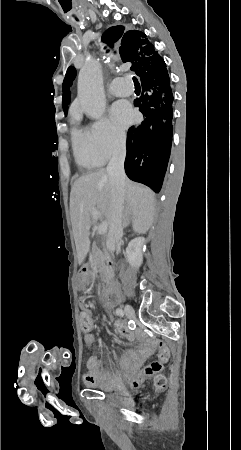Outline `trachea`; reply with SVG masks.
<instances>
[{
	"instance_id": "obj_1",
	"label": "trachea",
	"mask_w": 241,
	"mask_h": 450,
	"mask_svg": "<svg viewBox=\"0 0 241 450\" xmlns=\"http://www.w3.org/2000/svg\"><path fill=\"white\" fill-rule=\"evenodd\" d=\"M133 82L135 85H139L138 79L136 77H133Z\"/></svg>"
}]
</instances>
